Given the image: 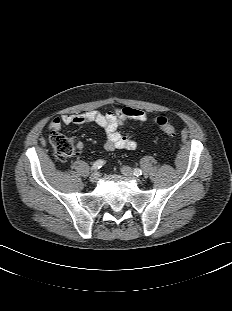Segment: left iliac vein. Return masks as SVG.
Listing matches in <instances>:
<instances>
[{
	"instance_id": "4c4485c4",
	"label": "left iliac vein",
	"mask_w": 232,
	"mask_h": 311,
	"mask_svg": "<svg viewBox=\"0 0 232 311\" xmlns=\"http://www.w3.org/2000/svg\"><path fill=\"white\" fill-rule=\"evenodd\" d=\"M121 173L124 176H126V177H130V178L135 179L138 183L141 182V179L136 177V176H134V173H133L132 169L130 167H128V166H122L121 167Z\"/></svg>"
}]
</instances>
